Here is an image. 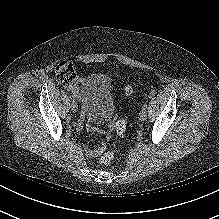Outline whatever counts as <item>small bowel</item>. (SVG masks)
<instances>
[{
	"label": "small bowel",
	"instance_id": "c3829d8e",
	"mask_svg": "<svg viewBox=\"0 0 219 219\" xmlns=\"http://www.w3.org/2000/svg\"><path fill=\"white\" fill-rule=\"evenodd\" d=\"M68 88H69L70 90H72L74 93H77V92H78V88H77V85H76V84H72V85H70ZM88 127H89V129H90L91 131H93V132L97 131V129H96V127H95L94 125H89ZM105 135H106V137L109 136L108 133H106ZM103 149H104V145L100 146L99 148L87 149V150H86V154H87V156L90 157V158H95V157H97V156L100 155V153L103 151Z\"/></svg>",
	"mask_w": 219,
	"mask_h": 219
}]
</instances>
